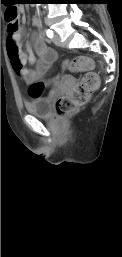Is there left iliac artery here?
Masks as SVG:
<instances>
[{"mask_svg":"<svg viewBox=\"0 0 122 257\" xmlns=\"http://www.w3.org/2000/svg\"><path fill=\"white\" fill-rule=\"evenodd\" d=\"M46 35H47V37L52 38L53 37V31L50 30V29H47L46 30Z\"/></svg>","mask_w":122,"mask_h":257,"instance_id":"1","label":"left iliac artery"}]
</instances>
